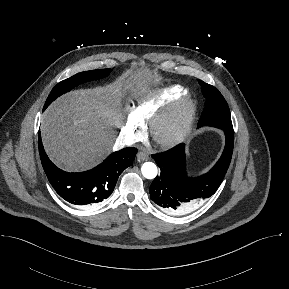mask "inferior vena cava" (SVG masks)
Returning a JSON list of instances; mask_svg holds the SVG:
<instances>
[{
  "label": "inferior vena cava",
  "mask_w": 289,
  "mask_h": 289,
  "mask_svg": "<svg viewBox=\"0 0 289 289\" xmlns=\"http://www.w3.org/2000/svg\"><path fill=\"white\" fill-rule=\"evenodd\" d=\"M135 143L134 139L126 134H120L118 138L116 139L114 148L119 149L124 146H131Z\"/></svg>",
  "instance_id": "1"
}]
</instances>
